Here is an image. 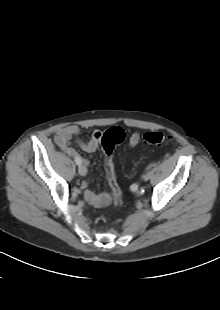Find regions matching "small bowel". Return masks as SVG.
<instances>
[{"mask_svg":"<svg viewBox=\"0 0 220 310\" xmlns=\"http://www.w3.org/2000/svg\"><path fill=\"white\" fill-rule=\"evenodd\" d=\"M80 133V128L76 125H69L61 128L56 136L55 142L64 151L68 156L75 158H80L82 163L87 166L88 161L82 158L79 153L71 146V141L73 138L77 137ZM101 132L95 130L92 132L90 138L86 141L78 140V144L80 148L86 153H93L97 150L100 144ZM140 141V134L138 132H134L130 135L128 140V145L130 147H135L138 145ZM83 188L85 190L84 197L86 201L95 206V207H103L109 202V195L107 193H95L88 188V183H83Z\"/></svg>","mask_w":220,"mask_h":310,"instance_id":"c3829d8e","label":"small bowel"}]
</instances>
